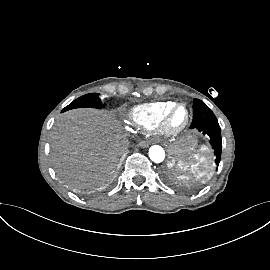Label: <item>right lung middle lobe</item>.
<instances>
[{"mask_svg":"<svg viewBox=\"0 0 270 270\" xmlns=\"http://www.w3.org/2000/svg\"><path fill=\"white\" fill-rule=\"evenodd\" d=\"M105 105L102 104L101 99H99L98 93L86 94L78 99L74 100L68 106H66L62 112L80 107H92V108H103Z\"/></svg>","mask_w":270,"mask_h":270,"instance_id":"obj_1","label":"right lung middle lobe"}]
</instances>
